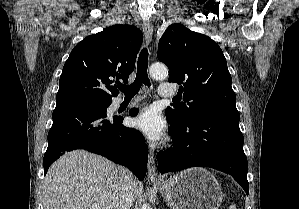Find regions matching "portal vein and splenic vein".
I'll return each mask as SVG.
<instances>
[{
  "instance_id": "portal-vein-and-splenic-vein-1",
  "label": "portal vein and splenic vein",
  "mask_w": 299,
  "mask_h": 209,
  "mask_svg": "<svg viewBox=\"0 0 299 209\" xmlns=\"http://www.w3.org/2000/svg\"><path fill=\"white\" fill-rule=\"evenodd\" d=\"M93 209H100L98 206L93 207Z\"/></svg>"
}]
</instances>
